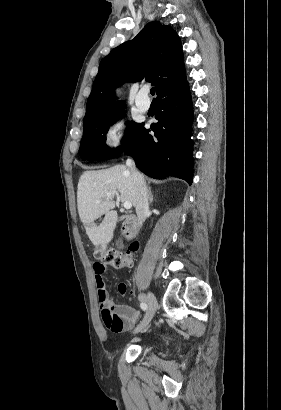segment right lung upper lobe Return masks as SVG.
<instances>
[{
	"instance_id": "right-lung-upper-lobe-1",
	"label": "right lung upper lobe",
	"mask_w": 281,
	"mask_h": 410,
	"mask_svg": "<svg viewBox=\"0 0 281 410\" xmlns=\"http://www.w3.org/2000/svg\"><path fill=\"white\" fill-rule=\"evenodd\" d=\"M143 79L156 87L157 96L186 80L180 38L159 21L148 23L133 40L114 48L101 61L83 124L124 106L123 101L114 102L116 86Z\"/></svg>"
}]
</instances>
